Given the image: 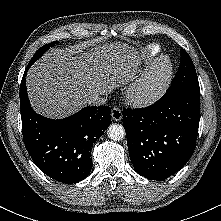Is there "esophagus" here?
<instances>
[{
  "instance_id": "obj_1",
  "label": "esophagus",
  "mask_w": 221,
  "mask_h": 221,
  "mask_svg": "<svg viewBox=\"0 0 221 221\" xmlns=\"http://www.w3.org/2000/svg\"><path fill=\"white\" fill-rule=\"evenodd\" d=\"M111 117L115 121H120L122 119V112L119 108H112L111 110Z\"/></svg>"
}]
</instances>
